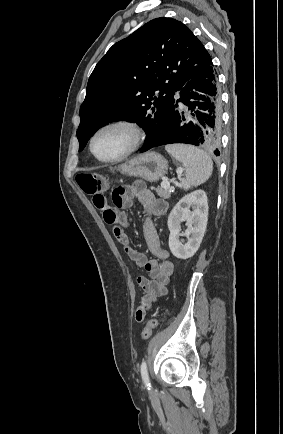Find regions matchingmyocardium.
I'll use <instances>...</instances> for the list:
<instances>
[{"instance_id": "obj_1", "label": "myocardium", "mask_w": 283, "mask_h": 434, "mask_svg": "<svg viewBox=\"0 0 283 434\" xmlns=\"http://www.w3.org/2000/svg\"><path fill=\"white\" fill-rule=\"evenodd\" d=\"M110 128L125 129L130 135V145L126 151H124L122 154L116 157L102 158L99 157L94 151V141L101 132ZM144 140H145V132L138 122L132 119L119 118L102 124L93 132V134L89 139V151L93 155V157L100 162L115 163L124 160L125 158L135 153L142 146Z\"/></svg>"}]
</instances>
